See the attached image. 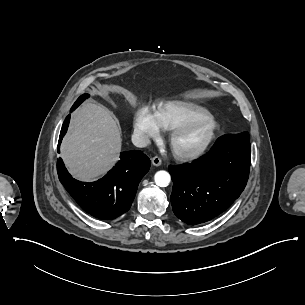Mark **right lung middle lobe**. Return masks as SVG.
Here are the masks:
<instances>
[{
	"label": "right lung middle lobe",
	"instance_id": "obj_1",
	"mask_svg": "<svg viewBox=\"0 0 305 305\" xmlns=\"http://www.w3.org/2000/svg\"><path fill=\"white\" fill-rule=\"evenodd\" d=\"M89 97V94H83L82 96H80L77 100L78 104H81L86 98Z\"/></svg>",
	"mask_w": 305,
	"mask_h": 305
}]
</instances>
